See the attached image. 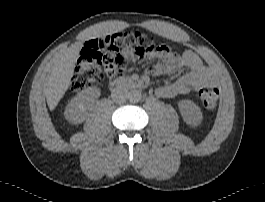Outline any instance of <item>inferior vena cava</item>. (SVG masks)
I'll list each match as a JSON object with an SVG mask.
<instances>
[{"mask_svg":"<svg viewBox=\"0 0 265 202\" xmlns=\"http://www.w3.org/2000/svg\"><path fill=\"white\" fill-rule=\"evenodd\" d=\"M111 97L115 103L121 104V103H124L128 99L129 92L127 89L123 87H118L112 91Z\"/></svg>","mask_w":265,"mask_h":202,"instance_id":"obj_1","label":"inferior vena cava"}]
</instances>
